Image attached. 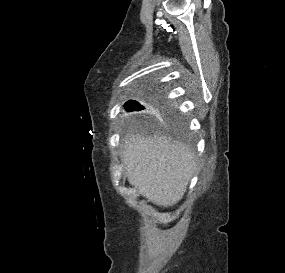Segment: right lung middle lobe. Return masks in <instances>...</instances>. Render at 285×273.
Returning a JSON list of instances; mask_svg holds the SVG:
<instances>
[{"label": "right lung middle lobe", "mask_w": 285, "mask_h": 273, "mask_svg": "<svg viewBox=\"0 0 285 273\" xmlns=\"http://www.w3.org/2000/svg\"><path fill=\"white\" fill-rule=\"evenodd\" d=\"M127 107L126 110L127 111H141L144 109V107L137 101H128L126 103ZM137 120H140V121H144V122H149L150 118H148L146 115L144 114H139L137 117H136ZM167 122H170L171 124H173L174 126H178L180 124L179 120L177 119H172V120H168Z\"/></svg>", "instance_id": "dd1d6c3e"}]
</instances>
